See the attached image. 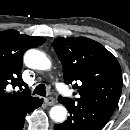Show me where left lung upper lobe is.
I'll return each instance as SVG.
<instances>
[{
	"label": "left lung upper lobe",
	"instance_id": "left-lung-upper-lobe-1",
	"mask_svg": "<svg viewBox=\"0 0 130 130\" xmlns=\"http://www.w3.org/2000/svg\"><path fill=\"white\" fill-rule=\"evenodd\" d=\"M53 48L63 66L65 83H74L79 93L76 101L95 104L112 114L122 91V71L114 55L85 37L57 38Z\"/></svg>",
	"mask_w": 130,
	"mask_h": 130
}]
</instances>
